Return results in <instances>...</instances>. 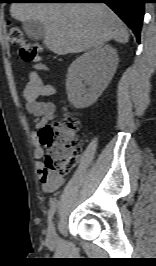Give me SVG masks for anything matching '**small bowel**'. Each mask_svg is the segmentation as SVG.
<instances>
[{
	"label": "small bowel",
	"instance_id": "obj_1",
	"mask_svg": "<svg viewBox=\"0 0 156 266\" xmlns=\"http://www.w3.org/2000/svg\"><path fill=\"white\" fill-rule=\"evenodd\" d=\"M53 92V87L45 85L36 72L31 73L24 95L27 100L26 109L34 117V127L36 130L31 133V141L35 146V156L37 159H40L44 152L40 146L37 130H41L49 121L57 117L55 105L52 102L40 101L39 98L51 95ZM36 169L39 181L46 193L56 191L64 183L62 175L48 172L39 160L36 162Z\"/></svg>",
	"mask_w": 156,
	"mask_h": 266
}]
</instances>
